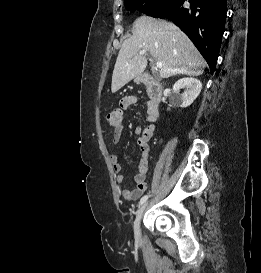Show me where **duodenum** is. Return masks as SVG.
Returning <instances> with one entry per match:
<instances>
[{
  "label": "duodenum",
  "instance_id": "410a0bca",
  "mask_svg": "<svg viewBox=\"0 0 261 273\" xmlns=\"http://www.w3.org/2000/svg\"><path fill=\"white\" fill-rule=\"evenodd\" d=\"M140 82L147 88L148 92L150 93L151 108L157 109L163 96L162 84L155 80V78L150 74H144L141 77Z\"/></svg>",
  "mask_w": 261,
  "mask_h": 273
}]
</instances>
